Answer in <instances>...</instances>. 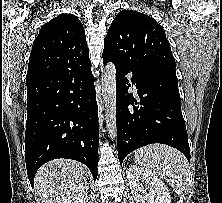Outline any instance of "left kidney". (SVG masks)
<instances>
[{
  "instance_id": "5707ae66",
  "label": "left kidney",
  "mask_w": 222,
  "mask_h": 203,
  "mask_svg": "<svg viewBox=\"0 0 222 203\" xmlns=\"http://www.w3.org/2000/svg\"><path fill=\"white\" fill-rule=\"evenodd\" d=\"M126 174L136 203H171L167 187L150 171L130 165Z\"/></svg>"
}]
</instances>
